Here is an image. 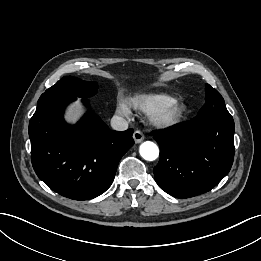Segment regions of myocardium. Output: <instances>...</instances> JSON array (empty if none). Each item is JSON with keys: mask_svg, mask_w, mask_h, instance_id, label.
Wrapping results in <instances>:
<instances>
[{"mask_svg": "<svg viewBox=\"0 0 261 261\" xmlns=\"http://www.w3.org/2000/svg\"><path fill=\"white\" fill-rule=\"evenodd\" d=\"M185 113V106L177 99H171L152 114L151 122L159 128H166L178 123Z\"/></svg>", "mask_w": 261, "mask_h": 261, "instance_id": "obj_1", "label": "myocardium"}]
</instances>
